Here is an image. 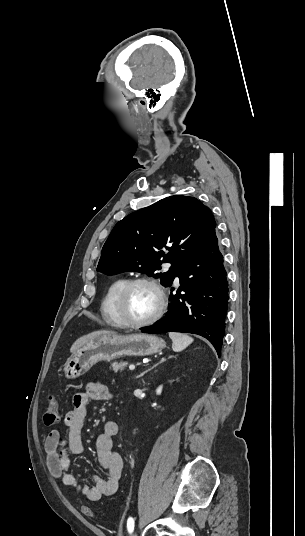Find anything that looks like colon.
I'll list each match as a JSON object with an SVG mask.
<instances>
[{
  "label": "colon",
  "instance_id": "5ec220e1",
  "mask_svg": "<svg viewBox=\"0 0 305 536\" xmlns=\"http://www.w3.org/2000/svg\"><path fill=\"white\" fill-rule=\"evenodd\" d=\"M59 411H60V407L57 401L50 400V402L48 403L46 407L44 417H43L44 426L52 427L56 425V423L58 422V418H59ZM80 509L84 511L83 515L85 518L90 519L93 517L94 515L93 510L88 508L86 504H82L80 506Z\"/></svg>",
  "mask_w": 305,
  "mask_h": 536
}]
</instances>
